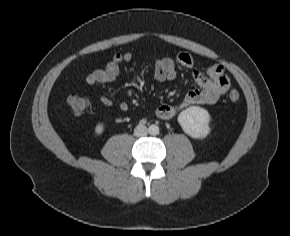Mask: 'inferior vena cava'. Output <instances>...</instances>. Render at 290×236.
<instances>
[{"instance_id":"602c4592","label":"inferior vena cava","mask_w":290,"mask_h":236,"mask_svg":"<svg viewBox=\"0 0 290 236\" xmlns=\"http://www.w3.org/2000/svg\"><path fill=\"white\" fill-rule=\"evenodd\" d=\"M148 134V129L146 126L140 124L135 127L134 129V135L137 137H144Z\"/></svg>"}]
</instances>
